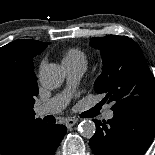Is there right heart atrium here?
Segmentation results:
<instances>
[{"label":"right heart atrium","instance_id":"1","mask_svg":"<svg viewBox=\"0 0 155 155\" xmlns=\"http://www.w3.org/2000/svg\"><path fill=\"white\" fill-rule=\"evenodd\" d=\"M44 63H45V61L43 60L42 63H41V67L44 65Z\"/></svg>","mask_w":155,"mask_h":155}]
</instances>
